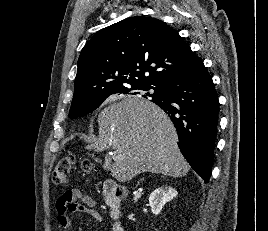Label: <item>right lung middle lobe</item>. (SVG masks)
<instances>
[{"instance_id": "obj_1", "label": "right lung middle lobe", "mask_w": 268, "mask_h": 231, "mask_svg": "<svg viewBox=\"0 0 268 231\" xmlns=\"http://www.w3.org/2000/svg\"><path fill=\"white\" fill-rule=\"evenodd\" d=\"M150 89H152L154 91L153 94L147 93L146 95H143V97L150 96V97H152V99H155V98H158L162 95V88L160 86L150 85V84H144V85H139V86H134V87L123 88V89L117 91L116 93L138 94V93H140V91H148ZM109 96H107V97H109ZM107 97L100 99L92 104H87V105L73 102L71 104L69 118L75 119L77 117L84 116V115L94 111L104 102V100Z\"/></svg>"}]
</instances>
